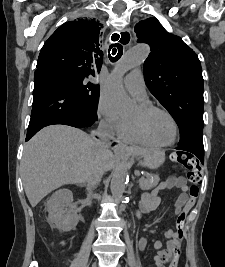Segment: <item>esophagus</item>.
I'll list each match as a JSON object with an SVG mask.
<instances>
[{
  "label": "esophagus",
  "mask_w": 225,
  "mask_h": 267,
  "mask_svg": "<svg viewBox=\"0 0 225 267\" xmlns=\"http://www.w3.org/2000/svg\"><path fill=\"white\" fill-rule=\"evenodd\" d=\"M123 33H128L130 38H131V35H130V32L127 30V29H123L121 30V32L119 31H115V32H112L110 37H109V41L110 42H114L113 39L115 38L114 34H118L119 35V39H121V34ZM130 43V39L128 37L125 38V43L123 44L124 46H127L128 44ZM127 145L123 142H119L115 148V151L116 153H124L127 151Z\"/></svg>",
  "instance_id": "esophagus-1"
}]
</instances>
